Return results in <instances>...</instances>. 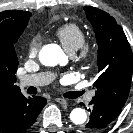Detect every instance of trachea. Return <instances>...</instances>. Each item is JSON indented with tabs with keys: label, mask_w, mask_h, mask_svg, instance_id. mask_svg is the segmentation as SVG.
Masks as SVG:
<instances>
[{
	"label": "trachea",
	"mask_w": 133,
	"mask_h": 133,
	"mask_svg": "<svg viewBox=\"0 0 133 133\" xmlns=\"http://www.w3.org/2000/svg\"><path fill=\"white\" fill-rule=\"evenodd\" d=\"M84 91L78 92V96L82 95Z\"/></svg>",
	"instance_id": "1"
}]
</instances>
